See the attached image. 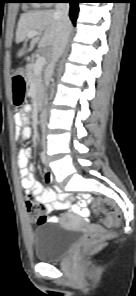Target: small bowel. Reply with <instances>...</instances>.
Masks as SVG:
<instances>
[{
	"instance_id": "small-bowel-1",
	"label": "small bowel",
	"mask_w": 136,
	"mask_h": 296,
	"mask_svg": "<svg viewBox=\"0 0 136 296\" xmlns=\"http://www.w3.org/2000/svg\"><path fill=\"white\" fill-rule=\"evenodd\" d=\"M31 108L29 105L14 116L15 122L22 127L20 140L24 141L31 136V128L27 125ZM30 149H21L18 156V169L21 177V186L25 195L33 197L40 202L47 213L53 210L71 209L74 213L82 217L89 216V210L84 199H81L77 205H73L71 198L62 192H56L51 189L44 188L36 179L33 173V167L29 165L31 157ZM45 180L52 182L53 175L49 172L45 173ZM56 217H47V222H56ZM46 222V223H47Z\"/></svg>"
}]
</instances>
